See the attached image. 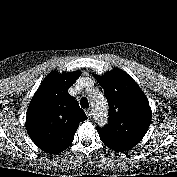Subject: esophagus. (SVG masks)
I'll return each instance as SVG.
<instances>
[{
  "instance_id": "obj_1",
  "label": "esophagus",
  "mask_w": 177,
  "mask_h": 177,
  "mask_svg": "<svg viewBox=\"0 0 177 177\" xmlns=\"http://www.w3.org/2000/svg\"><path fill=\"white\" fill-rule=\"evenodd\" d=\"M85 113H86V115L88 116V117H91L92 115H93V112H92V109H86L85 110Z\"/></svg>"
}]
</instances>
